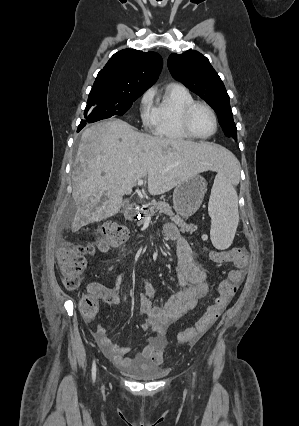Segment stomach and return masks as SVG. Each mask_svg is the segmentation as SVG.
I'll return each mask as SVG.
<instances>
[{
  "instance_id": "obj_1",
  "label": "stomach",
  "mask_w": 299,
  "mask_h": 426,
  "mask_svg": "<svg viewBox=\"0 0 299 426\" xmlns=\"http://www.w3.org/2000/svg\"><path fill=\"white\" fill-rule=\"evenodd\" d=\"M206 193V181L201 176L179 183L173 192V207L184 218L192 216L201 206Z\"/></svg>"
}]
</instances>
